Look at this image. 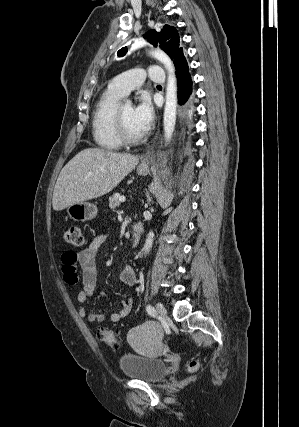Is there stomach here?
<instances>
[{"mask_svg": "<svg viewBox=\"0 0 299 427\" xmlns=\"http://www.w3.org/2000/svg\"><path fill=\"white\" fill-rule=\"evenodd\" d=\"M137 173L146 176L149 173V167L138 166ZM97 206L89 202H79L67 207L68 216L74 221H89L97 216Z\"/></svg>", "mask_w": 299, "mask_h": 427, "instance_id": "obj_1", "label": "stomach"}]
</instances>
